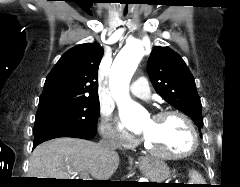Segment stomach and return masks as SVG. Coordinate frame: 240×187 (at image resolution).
Returning <instances> with one entry per match:
<instances>
[{"label":"stomach","instance_id":"obj_1","mask_svg":"<svg viewBox=\"0 0 240 187\" xmlns=\"http://www.w3.org/2000/svg\"><path fill=\"white\" fill-rule=\"evenodd\" d=\"M140 167L151 182L162 183L170 176L168 165L157 158H146Z\"/></svg>","mask_w":240,"mask_h":187}]
</instances>
